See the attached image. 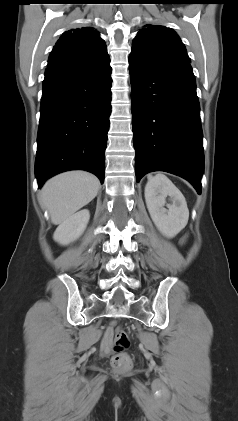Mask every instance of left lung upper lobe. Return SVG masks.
<instances>
[{
    "label": "left lung upper lobe",
    "instance_id": "1",
    "mask_svg": "<svg viewBox=\"0 0 238 421\" xmlns=\"http://www.w3.org/2000/svg\"><path fill=\"white\" fill-rule=\"evenodd\" d=\"M131 54L149 63L173 60L190 62L185 46L177 34L171 28L160 25L140 30L133 40Z\"/></svg>",
    "mask_w": 238,
    "mask_h": 421
}]
</instances>
